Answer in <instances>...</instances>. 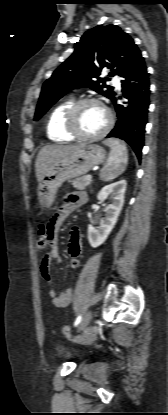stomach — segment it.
<instances>
[{"mask_svg": "<svg viewBox=\"0 0 168 415\" xmlns=\"http://www.w3.org/2000/svg\"><path fill=\"white\" fill-rule=\"evenodd\" d=\"M105 150L95 144H82L76 151L52 164L39 182L38 199L43 208H50L61 185L88 173L105 160Z\"/></svg>", "mask_w": 168, "mask_h": 415, "instance_id": "1", "label": "stomach"}]
</instances>
